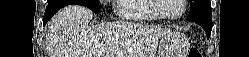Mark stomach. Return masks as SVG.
Listing matches in <instances>:
<instances>
[{
  "label": "stomach",
  "mask_w": 249,
  "mask_h": 57,
  "mask_svg": "<svg viewBox=\"0 0 249 57\" xmlns=\"http://www.w3.org/2000/svg\"><path fill=\"white\" fill-rule=\"evenodd\" d=\"M189 41L182 33L164 35L160 40L157 57H186Z\"/></svg>",
  "instance_id": "stomach-1"
}]
</instances>
